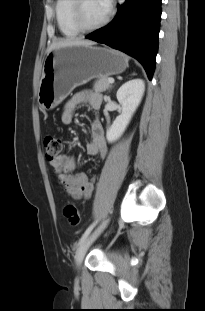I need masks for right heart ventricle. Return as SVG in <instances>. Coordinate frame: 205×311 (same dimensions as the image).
Masks as SVG:
<instances>
[{"label": "right heart ventricle", "instance_id": "e07e8e85", "mask_svg": "<svg viewBox=\"0 0 205 311\" xmlns=\"http://www.w3.org/2000/svg\"><path fill=\"white\" fill-rule=\"evenodd\" d=\"M74 0H58L55 7L58 28L65 37H75L81 31L72 20V5Z\"/></svg>", "mask_w": 205, "mask_h": 311}]
</instances>
